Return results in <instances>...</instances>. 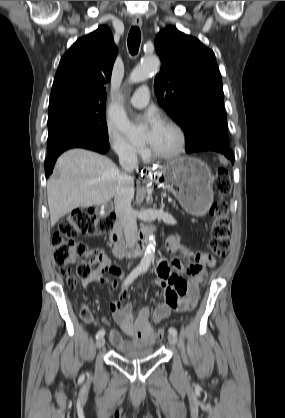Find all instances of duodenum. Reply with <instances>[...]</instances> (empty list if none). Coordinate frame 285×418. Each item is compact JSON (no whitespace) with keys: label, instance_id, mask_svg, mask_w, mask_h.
Wrapping results in <instances>:
<instances>
[{"label":"duodenum","instance_id":"1","mask_svg":"<svg viewBox=\"0 0 285 418\" xmlns=\"http://www.w3.org/2000/svg\"><path fill=\"white\" fill-rule=\"evenodd\" d=\"M110 242L112 245V253L118 259L138 257L144 254L147 249V241L145 239L138 240L132 248L126 247L123 239L122 226L119 222L116 223L110 233Z\"/></svg>","mask_w":285,"mask_h":418}]
</instances>
